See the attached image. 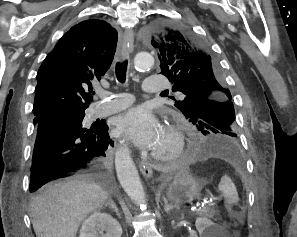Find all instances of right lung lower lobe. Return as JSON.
<instances>
[{"label": "right lung lower lobe", "mask_w": 297, "mask_h": 237, "mask_svg": "<svg viewBox=\"0 0 297 237\" xmlns=\"http://www.w3.org/2000/svg\"><path fill=\"white\" fill-rule=\"evenodd\" d=\"M30 176V192L44 184L74 174L93 173L106 179L105 150L112 143L108 126L93 124L89 129L62 112L39 119Z\"/></svg>", "instance_id": "1"}]
</instances>
